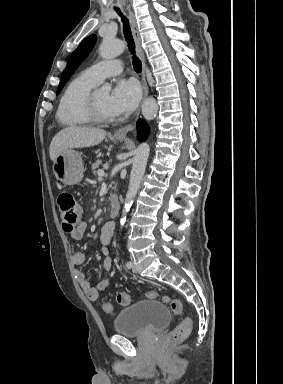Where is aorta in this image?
<instances>
[{"mask_svg": "<svg viewBox=\"0 0 283 384\" xmlns=\"http://www.w3.org/2000/svg\"><path fill=\"white\" fill-rule=\"evenodd\" d=\"M124 49L125 44L123 41L105 38L99 47V54L103 59H112L119 56ZM103 90L108 92L111 90V86L105 84ZM157 112L158 104L155 98L148 97L142 104V114L144 118L146 120H153L156 117ZM149 154L150 147L147 143H142L138 146L133 158L129 187L125 198L124 209L122 211L121 225L126 221V214L129 211L142 182Z\"/></svg>", "mask_w": 283, "mask_h": 384, "instance_id": "aorta-1", "label": "aorta"}]
</instances>
